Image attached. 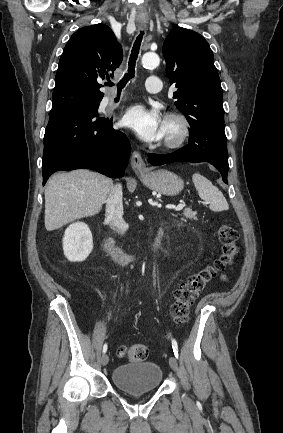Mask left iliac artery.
Returning <instances> with one entry per match:
<instances>
[{
    "instance_id": "1",
    "label": "left iliac artery",
    "mask_w": 283,
    "mask_h": 433,
    "mask_svg": "<svg viewBox=\"0 0 283 433\" xmlns=\"http://www.w3.org/2000/svg\"><path fill=\"white\" fill-rule=\"evenodd\" d=\"M172 348H173V352L175 357L178 359V345L175 339H172Z\"/></svg>"
}]
</instances>
